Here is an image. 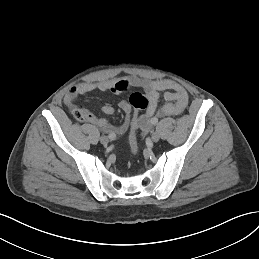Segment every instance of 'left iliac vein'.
Returning a JSON list of instances; mask_svg holds the SVG:
<instances>
[{
    "label": "left iliac vein",
    "mask_w": 259,
    "mask_h": 259,
    "mask_svg": "<svg viewBox=\"0 0 259 259\" xmlns=\"http://www.w3.org/2000/svg\"><path fill=\"white\" fill-rule=\"evenodd\" d=\"M151 139H152L153 142H158L159 139H160L159 133L154 132V133L152 134V136H151Z\"/></svg>",
    "instance_id": "1"
}]
</instances>
